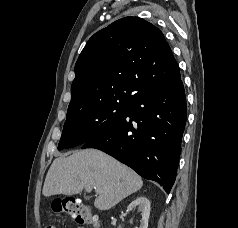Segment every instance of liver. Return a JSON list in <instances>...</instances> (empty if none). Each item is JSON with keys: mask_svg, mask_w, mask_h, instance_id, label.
<instances>
[{"mask_svg": "<svg viewBox=\"0 0 238 228\" xmlns=\"http://www.w3.org/2000/svg\"><path fill=\"white\" fill-rule=\"evenodd\" d=\"M143 186L132 169L96 149H86L56 158L45 178L43 195H75L96 187L94 206L109 210Z\"/></svg>", "mask_w": 238, "mask_h": 228, "instance_id": "liver-1", "label": "liver"}]
</instances>
